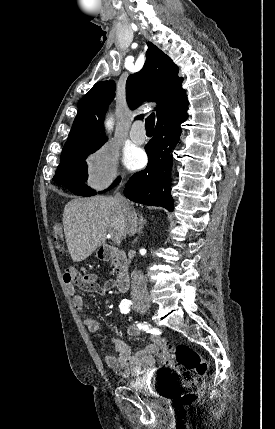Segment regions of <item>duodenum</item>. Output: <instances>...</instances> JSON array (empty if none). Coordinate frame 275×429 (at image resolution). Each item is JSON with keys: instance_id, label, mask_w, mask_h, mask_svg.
Returning <instances> with one entry per match:
<instances>
[{"instance_id": "obj_1", "label": "duodenum", "mask_w": 275, "mask_h": 429, "mask_svg": "<svg viewBox=\"0 0 275 429\" xmlns=\"http://www.w3.org/2000/svg\"><path fill=\"white\" fill-rule=\"evenodd\" d=\"M98 255L103 261L112 262L116 280L115 286L120 292H124L129 287V265L126 254L114 247L104 245L99 248Z\"/></svg>"}]
</instances>
